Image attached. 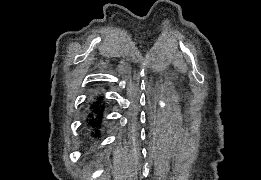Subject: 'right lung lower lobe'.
Returning <instances> with one entry per match:
<instances>
[{
    "label": "right lung lower lobe",
    "mask_w": 261,
    "mask_h": 180,
    "mask_svg": "<svg viewBox=\"0 0 261 180\" xmlns=\"http://www.w3.org/2000/svg\"><path fill=\"white\" fill-rule=\"evenodd\" d=\"M104 99L105 98L102 95L96 96L87 107V123L96 130L101 127L105 109Z\"/></svg>",
    "instance_id": "right-lung-lower-lobe-1"
}]
</instances>
